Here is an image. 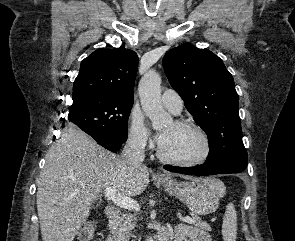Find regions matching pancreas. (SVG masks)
<instances>
[{
	"label": "pancreas",
	"instance_id": "obj_1",
	"mask_svg": "<svg viewBox=\"0 0 295 241\" xmlns=\"http://www.w3.org/2000/svg\"><path fill=\"white\" fill-rule=\"evenodd\" d=\"M193 219L195 220V223H194L195 226H197L198 228L202 230L211 231V227L207 222L202 221L197 216H193ZM136 221H137V218L133 215H123L113 222L112 231L118 234L119 236L127 239L130 236H132L131 231L136 226Z\"/></svg>",
	"mask_w": 295,
	"mask_h": 241
}]
</instances>
